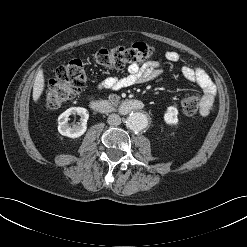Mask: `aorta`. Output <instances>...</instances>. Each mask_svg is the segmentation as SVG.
<instances>
[{
    "label": "aorta",
    "mask_w": 247,
    "mask_h": 247,
    "mask_svg": "<svg viewBox=\"0 0 247 247\" xmlns=\"http://www.w3.org/2000/svg\"><path fill=\"white\" fill-rule=\"evenodd\" d=\"M126 125L132 131H141L147 127L148 118L141 112H134L128 116Z\"/></svg>",
    "instance_id": "aorta-1"
}]
</instances>
